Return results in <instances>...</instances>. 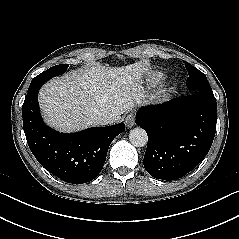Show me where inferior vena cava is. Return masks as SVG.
Returning <instances> with one entry per match:
<instances>
[{
  "label": "inferior vena cava",
  "instance_id": "602c4592",
  "mask_svg": "<svg viewBox=\"0 0 239 239\" xmlns=\"http://www.w3.org/2000/svg\"><path fill=\"white\" fill-rule=\"evenodd\" d=\"M96 123L98 125H108L114 122V117L108 115L99 114L95 117Z\"/></svg>",
  "mask_w": 239,
  "mask_h": 239
}]
</instances>
